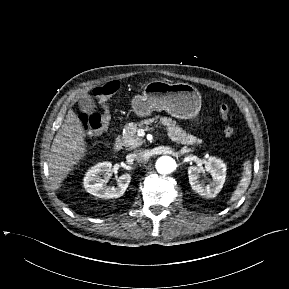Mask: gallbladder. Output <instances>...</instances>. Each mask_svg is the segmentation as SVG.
Returning a JSON list of instances; mask_svg holds the SVG:
<instances>
[{
  "instance_id": "1",
  "label": "gallbladder",
  "mask_w": 289,
  "mask_h": 289,
  "mask_svg": "<svg viewBox=\"0 0 289 289\" xmlns=\"http://www.w3.org/2000/svg\"><path fill=\"white\" fill-rule=\"evenodd\" d=\"M80 110L90 115L95 111L96 105L91 97L82 98L79 101Z\"/></svg>"
}]
</instances>
